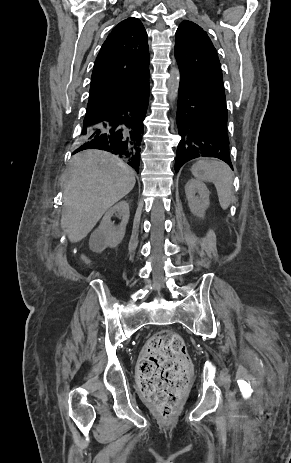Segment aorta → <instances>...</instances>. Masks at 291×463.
Segmentation results:
<instances>
[{"label": "aorta", "mask_w": 291, "mask_h": 463, "mask_svg": "<svg viewBox=\"0 0 291 463\" xmlns=\"http://www.w3.org/2000/svg\"><path fill=\"white\" fill-rule=\"evenodd\" d=\"M171 76L168 80V89H169V100L173 101L176 97V93L179 88L180 83V73L177 68L171 69Z\"/></svg>", "instance_id": "1"}]
</instances>
